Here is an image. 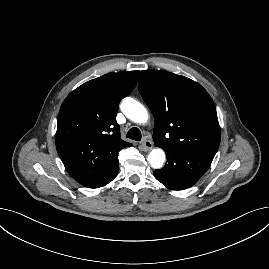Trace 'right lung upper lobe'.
Listing matches in <instances>:
<instances>
[{
    "instance_id": "right-lung-upper-lobe-1",
    "label": "right lung upper lobe",
    "mask_w": 269,
    "mask_h": 269,
    "mask_svg": "<svg viewBox=\"0 0 269 269\" xmlns=\"http://www.w3.org/2000/svg\"><path fill=\"white\" fill-rule=\"evenodd\" d=\"M139 71L108 73L72 91L61 105L56 148L67 172L90 187L118 162L131 146L120 137L116 122L119 102L130 94Z\"/></svg>"
}]
</instances>
